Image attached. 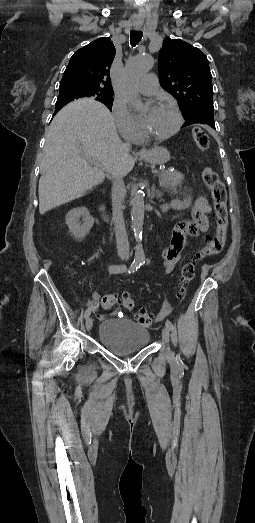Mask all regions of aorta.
<instances>
[{
	"label": "aorta",
	"instance_id": "762f6f07",
	"mask_svg": "<svg viewBox=\"0 0 255 523\" xmlns=\"http://www.w3.org/2000/svg\"><path fill=\"white\" fill-rule=\"evenodd\" d=\"M153 65L154 59L150 55L136 56L126 64L123 77V89L128 102L132 106H138L140 104L139 96L135 90L137 82L153 67ZM144 211V197L142 193L134 191L131 222L134 230V237L137 242L135 247V260L137 261H143L145 259L141 244Z\"/></svg>",
	"mask_w": 255,
	"mask_h": 523
}]
</instances>
